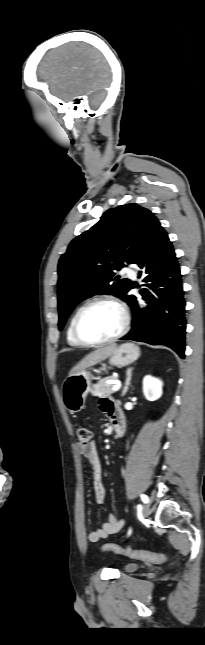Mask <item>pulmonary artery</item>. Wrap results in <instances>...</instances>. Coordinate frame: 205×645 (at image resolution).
Listing matches in <instances>:
<instances>
[{
    "instance_id": "1",
    "label": "pulmonary artery",
    "mask_w": 205,
    "mask_h": 645,
    "mask_svg": "<svg viewBox=\"0 0 205 645\" xmlns=\"http://www.w3.org/2000/svg\"><path fill=\"white\" fill-rule=\"evenodd\" d=\"M122 273L127 274L130 277H135V272L132 268L130 267H123L122 268Z\"/></svg>"
}]
</instances>
